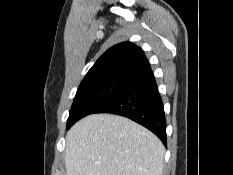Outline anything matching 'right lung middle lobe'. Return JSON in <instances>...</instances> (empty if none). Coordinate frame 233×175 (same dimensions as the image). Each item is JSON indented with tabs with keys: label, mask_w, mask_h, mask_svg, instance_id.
<instances>
[{
	"label": "right lung middle lobe",
	"mask_w": 233,
	"mask_h": 175,
	"mask_svg": "<svg viewBox=\"0 0 233 175\" xmlns=\"http://www.w3.org/2000/svg\"><path fill=\"white\" fill-rule=\"evenodd\" d=\"M132 80L130 77L115 75L83 80L70 110L67 129L115 97Z\"/></svg>",
	"instance_id": "1"
}]
</instances>
